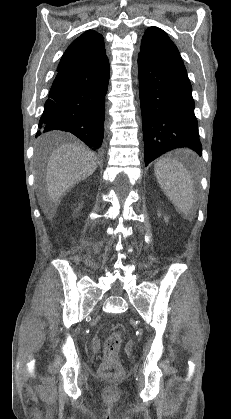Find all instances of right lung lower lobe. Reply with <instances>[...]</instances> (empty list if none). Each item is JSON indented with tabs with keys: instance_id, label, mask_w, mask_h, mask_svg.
Returning <instances> with one entry per match:
<instances>
[{
	"instance_id": "1",
	"label": "right lung lower lobe",
	"mask_w": 231,
	"mask_h": 419,
	"mask_svg": "<svg viewBox=\"0 0 231 419\" xmlns=\"http://www.w3.org/2000/svg\"><path fill=\"white\" fill-rule=\"evenodd\" d=\"M57 71L39 121L37 136L51 130L67 131L92 150L100 152L109 61Z\"/></svg>"
}]
</instances>
